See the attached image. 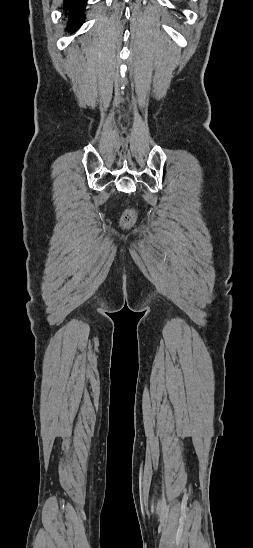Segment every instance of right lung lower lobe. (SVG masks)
<instances>
[{"mask_svg":"<svg viewBox=\"0 0 253 548\" xmlns=\"http://www.w3.org/2000/svg\"><path fill=\"white\" fill-rule=\"evenodd\" d=\"M87 0H64L66 6L72 8L74 13L72 20L74 22V30L80 26L84 21V15L82 14Z\"/></svg>","mask_w":253,"mask_h":548,"instance_id":"98d812e1","label":"right lung lower lobe"}]
</instances>
